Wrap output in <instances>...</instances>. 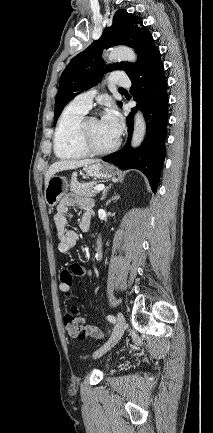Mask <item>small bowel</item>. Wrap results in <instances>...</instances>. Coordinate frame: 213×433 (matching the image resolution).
<instances>
[{
	"label": "small bowel",
	"mask_w": 213,
	"mask_h": 433,
	"mask_svg": "<svg viewBox=\"0 0 213 433\" xmlns=\"http://www.w3.org/2000/svg\"><path fill=\"white\" fill-rule=\"evenodd\" d=\"M77 206L82 210V216L79 220V227L82 231L89 229L91 218H92V201L89 198L79 197L74 194L65 196L57 206V213L54 216V222L58 231L59 242L57 249L60 253H69L77 244L79 235L78 233L69 227L70 217L68 211L70 207ZM67 269L73 271L74 276L91 278L92 271L89 268L83 267L80 264H71ZM76 284L73 282L71 285L61 283L60 290L67 292L73 290ZM87 330L96 332L91 337L102 338L103 332L97 326L89 325Z\"/></svg>",
	"instance_id": "1"
}]
</instances>
